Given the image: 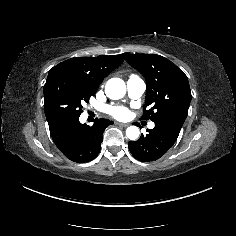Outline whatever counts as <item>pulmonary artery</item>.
I'll return each mask as SVG.
<instances>
[{
	"mask_svg": "<svg viewBox=\"0 0 236 236\" xmlns=\"http://www.w3.org/2000/svg\"><path fill=\"white\" fill-rule=\"evenodd\" d=\"M127 90L129 97L133 99L140 98L145 91V83L138 76H131L127 81ZM154 123L149 122L148 127L150 129L154 128Z\"/></svg>",
	"mask_w": 236,
	"mask_h": 236,
	"instance_id": "e3ab8cb5",
	"label": "pulmonary artery"
}]
</instances>
